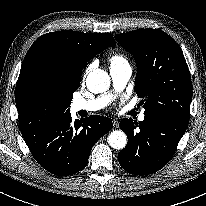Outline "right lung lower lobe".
<instances>
[{"label":"right lung lower lobe","instance_id":"obj_1","mask_svg":"<svg viewBox=\"0 0 206 206\" xmlns=\"http://www.w3.org/2000/svg\"><path fill=\"white\" fill-rule=\"evenodd\" d=\"M112 127L107 117L92 115L73 122L68 114L21 130V133L33 157L44 169L58 176H68L86 166L92 147Z\"/></svg>","mask_w":206,"mask_h":206}]
</instances>
